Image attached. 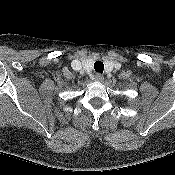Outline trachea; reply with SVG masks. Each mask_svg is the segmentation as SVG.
<instances>
[{
    "mask_svg": "<svg viewBox=\"0 0 175 175\" xmlns=\"http://www.w3.org/2000/svg\"><path fill=\"white\" fill-rule=\"evenodd\" d=\"M94 69H95L96 72L102 74L103 73V70H104V64H103V62L96 61L94 63Z\"/></svg>",
    "mask_w": 175,
    "mask_h": 175,
    "instance_id": "trachea-1",
    "label": "trachea"
}]
</instances>
